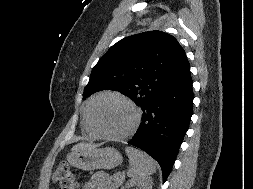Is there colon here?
I'll list each match as a JSON object with an SVG mask.
<instances>
[{
	"label": "colon",
	"instance_id": "colon-1",
	"mask_svg": "<svg viewBox=\"0 0 253 189\" xmlns=\"http://www.w3.org/2000/svg\"><path fill=\"white\" fill-rule=\"evenodd\" d=\"M52 178L61 189H76L74 174L65 163L59 164L54 169Z\"/></svg>",
	"mask_w": 253,
	"mask_h": 189
}]
</instances>
